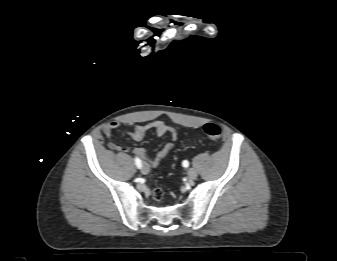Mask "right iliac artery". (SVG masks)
<instances>
[{
    "label": "right iliac artery",
    "mask_w": 337,
    "mask_h": 261,
    "mask_svg": "<svg viewBox=\"0 0 337 261\" xmlns=\"http://www.w3.org/2000/svg\"><path fill=\"white\" fill-rule=\"evenodd\" d=\"M135 164L138 168L142 167V162L138 157H135Z\"/></svg>",
    "instance_id": "82829eb1"
}]
</instances>
